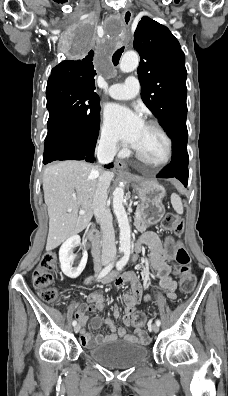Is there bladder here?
Masks as SVG:
<instances>
[{
	"instance_id": "31cf9c89",
	"label": "bladder",
	"mask_w": 228,
	"mask_h": 396,
	"mask_svg": "<svg viewBox=\"0 0 228 396\" xmlns=\"http://www.w3.org/2000/svg\"><path fill=\"white\" fill-rule=\"evenodd\" d=\"M86 354L107 368L123 369L145 361L149 350L142 342L115 339L88 348Z\"/></svg>"
}]
</instances>
